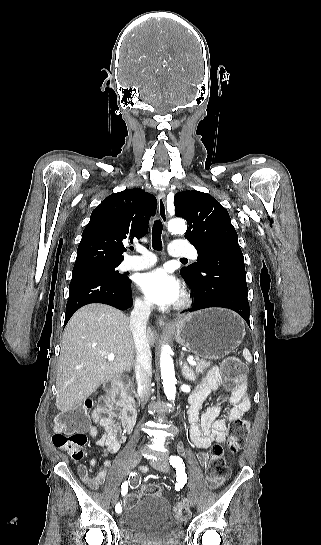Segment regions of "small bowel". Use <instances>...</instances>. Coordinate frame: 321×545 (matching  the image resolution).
Here are the masks:
<instances>
[{
    "mask_svg": "<svg viewBox=\"0 0 321 545\" xmlns=\"http://www.w3.org/2000/svg\"><path fill=\"white\" fill-rule=\"evenodd\" d=\"M221 381L219 368L214 367L199 383L190 397L189 434L191 441L199 449H208L214 442H223L228 422L240 419L251 407V401L246 390H233L229 399V403L232 405L231 408L224 412V404L216 403L199 415L201 404L212 391L219 387ZM117 415V410L107 400L102 401L92 415L93 423L103 430V434L97 439L96 444L104 449L106 455L117 453L121 444L125 441V434L121 426L115 421ZM87 433L91 438H95L98 436V429L96 426H91ZM197 457L201 463H205L208 455L201 452ZM98 463L95 458L90 461L91 466H97ZM110 466L111 462L105 459L103 468L95 477L99 484L104 481Z\"/></svg>",
    "mask_w": 321,
    "mask_h": 545,
    "instance_id": "obj_1",
    "label": "small bowel"
}]
</instances>
